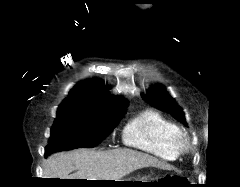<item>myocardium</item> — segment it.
Returning <instances> with one entry per match:
<instances>
[{"mask_svg": "<svg viewBox=\"0 0 240 187\" xmlns=\"http://www.w3.org/2000/svg\"><path fill=\"white\" fill-rule=\"evenodd\" d=\"M175 146L179 153H182L189 149V140L183 132H179L175 136Z\"/></svg>", "mask_w": 240, "mask_h": 187, "instance_id": "1", "label": "myocardium"}]
</instances>
